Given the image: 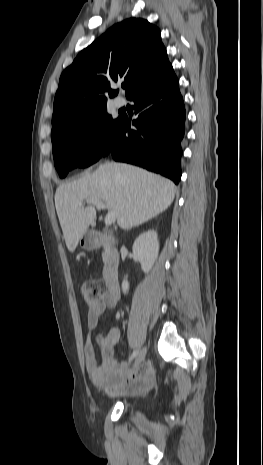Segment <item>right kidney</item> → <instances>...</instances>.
Returning <instances> with one entry per match:
<instances>
[{
    "instance_id": "obj_1",
    "label": "right kidney",
    "mask_w": 263,
    "mask_h": 465,
    "mask_svg": "<svg viewBox=\"0 0 263 465\" xmlns=\"http://www.w3.org/2000/svg\"><path fill=\"white\" fill-rule=\"evenodd\" d=\"M132 250L134 257L140 262L142 270L148 273L158 257L157 233L154 230H149L140 234L134 241ZM122 290L124 294L128 292L129 283L127 280L122 282Z\"/></svg>"
}]
</instances>
